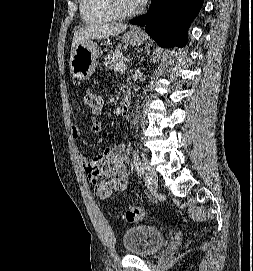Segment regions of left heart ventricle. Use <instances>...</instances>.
I'll use <instances>...</instances> for the list:
<instances>
[{"label":"left heart ventricle","mask_w":253,"mask_h":271,"mask_svg":"<svg viewBox=\"0 0 253 271\" xmlns=\"http://www.w3.org/2000/svg\"><path fill=\"white\" fill-rule=\"evenodd\" d=\"M123 1H124V5L127 8H135L139 5L136 0H123Z\"/></svg>","instance_id":"left-heart-ventricle-1"}]
</instances>
